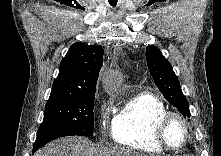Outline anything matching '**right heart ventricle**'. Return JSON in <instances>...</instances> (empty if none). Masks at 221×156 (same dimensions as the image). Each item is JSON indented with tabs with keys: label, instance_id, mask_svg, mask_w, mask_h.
I'll use <instances>...</instances> for the list:
<instances>
[{
	"label": "right heart ventricle",
	"instance_id": "right-heart-ventricle-1",
	"mask_svg": "<svg viewBox=\"0 0 221 156\" xmlns=\"http://www.w3.org/2000/svg\"><path fill=\"white\" fill-rule=\"evenodd\" d=\"M168 109L156 95L138 93L130 98L112 121L113 140L124 147L144 153H162L164 148L154 136L157 120Z\"/></svg>",
	"mask_w": 221,
	"mask_h": 156
}]
</instances>
